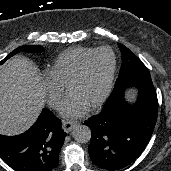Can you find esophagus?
Instances as JSON below:
<instances>
[{
	"instance_id": "esophagus-1",
	"label": "esophagus",
	"mask_w": 171,
	"mask_h": 171,
	"mask_svg": "<svg viewBox=\"0 0 171 171\" xmlns=\"http://www.w3.org/2000/svg\"><path fill=\"white\" fill-rule=\"evenodd\" d=\"M78 124L77 121H64L62 124V129L69 133L73 130V128Z\"/></svg>"
}]
</instances>
